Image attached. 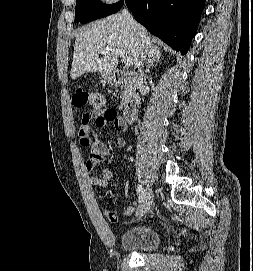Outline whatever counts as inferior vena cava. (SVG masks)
Returning a JSON list of instances; mask_svg holds the SVG:
<instances>
[{"instance_id":"inferior-vena-cava-1","label":"inferior vena cava","mask_w":253,"mask_h":271,"mask_svg":"<svg viewBox=\"0 0 253 271\" xmlns=\"http://www.w3.org/2000/svg\"><path fill=\"white\" fill-rule=\"evenodd\" d=\"M122 15L127 18V20L130 22L132 28L136 29L138 28V24L135 22V20L133 19V17L131 16V14L129 13V11L127 9H124L122 11ZM145 59V56H141V59L139 61V67H138V70H139V75H138V79L140 81V84L139 86L141 87L142 83H143V77H144V74H143V71H142V68H143V60Z\"/></svg>"}]
</instances>
